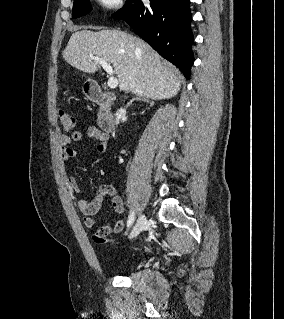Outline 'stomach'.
<instances>
[{
	"instance_id": "0dacf381",
	"label": "stomach",
	"mask_w": 284,
	"mask_h": 319,
	"mask_svg": "<svg viewBox=\"0 0 284 319\" xmlns=\"http://www.w3.org/2000/svg\"><path fill=\"white\" fill-rule=\"evenodd\" d=\"M83 91H84V93H87L89 91V86L87 83L84 85Z\"/></svg>"
}]
</instances>
